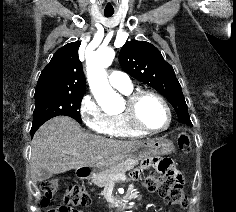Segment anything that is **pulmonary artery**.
Here are the masks:
<instances>
[{"label":"pulmonary artery","instance_id":"obj_1","mask_svg":"<svg viewBox=\"0 0 236 212\" xmlns=\"http://www.w3.org/2000/svg\"><path fill=\"white\" fill-rule=\"evenodd\" d=\"M108 80L110 85L116 89H124L131 86V80L129 76L121 71H111Z\"/></svg>","mask_w":236,"mask_h":212}]
</instances>
